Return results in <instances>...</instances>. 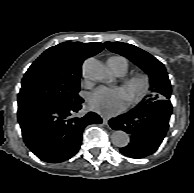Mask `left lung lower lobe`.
<instances>
[{
  "mask_svg": "<svg viewBox=\"0 0 194 193\" xmlns=\"http://www.w3.org/2000/svg\"><path fill=\"white\" fill-rule=\"evenodd\" d=\"M172 104L169 99L135 107L109 121L114 130H123L131 137L120 152L131 158H143L154 153L169 127Z\"/></svg>",
  "mask_w": 194,
  "mask_h": 193,
  "instance_id": "obj_1",
  "label": "left lung lower lobe"
}]
</instances>
